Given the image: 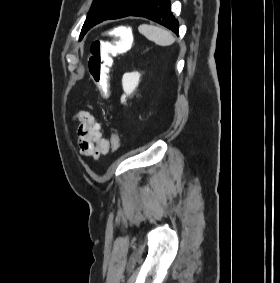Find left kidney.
I'll return each mask as SVG.
<instances>
[{"label":"left kidney","instance_id":"obj_1","mask_svg":"<svg viewBox=\"0 0 280 283\" xmlns=\"http://www.w3.org/2000/svg\"><path fill=\"white\" fill-rule=\"evenodd\" d=\"M140 73L131 72L125 73L122 78V87L124 94L121 97V103L126 102V98L135 91L140 81Z\"/></svg>","mask_w":280,"mask_h":283}]
</instances>
